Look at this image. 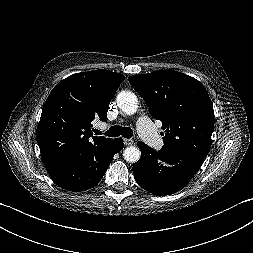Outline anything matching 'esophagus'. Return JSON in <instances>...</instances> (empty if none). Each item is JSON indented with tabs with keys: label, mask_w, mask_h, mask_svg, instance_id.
<instances>
[{
	"label": "esophagus",
	"mask_w": 253,
	"mask_h": 253,
	"mask_svg": "<svg viewBox=\"0 0 253 253\" xmlns=\"http://www.w3.org/2000/svg\"><path fill=\"white\" fill-rule=\"evenodd\" d=\"M134 143V141L132 140V139H129V138H125L124 139V144L126 145V146H130V145H132Z\"/></svg>",
	"instance_id": "34e87169"
}]
</instances>
